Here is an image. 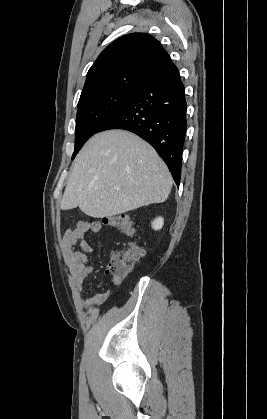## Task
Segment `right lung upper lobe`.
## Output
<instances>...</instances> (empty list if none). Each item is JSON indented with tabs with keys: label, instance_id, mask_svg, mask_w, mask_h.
<instances>
[{
	"label": "right lung upper lobe",
	"instance_id": "cb5924a9",
	"mask_svg": "<svg viewBox=\"0 0 267 419\" xmlns=\"http://www.w3.org/2000/svg\"><path fill=\"white\" fill-rule=\"evenodd\" d=\"M171 64L170 56L154 37L146 33L124 35L107 46L91 66L80 99L141 85Z\"/></svg>",
	"mask_w": 267,
	"mask_h": 419
}]
</instances>
